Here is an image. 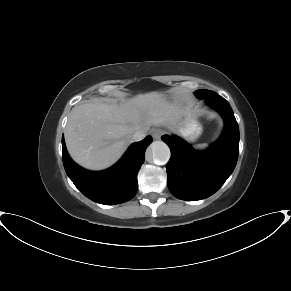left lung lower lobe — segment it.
I'll list each match as a JSON object with an SVG mask.
<instances>
[{
    "mask_svg": "<svg viewBox=\"0 0 291 291\" xmlns=\"http://www.w3.org/2000/svg\"><path fill=\"white\" fill-rule=\"evenodd\" d=\"M203 98L225 120L224 131L216 143L199 152L177 136H162L171 150L166 165L168 188L181 200L195 201L214 194L232 174L238 159L239 127L231 106L213 91Z\"/></svg>",
    "mask_w": 291,
    "mask_h": 291,
    "instance_id": "left-lung-lower-lobe-1",
    "label": "left lung lower lobe"
}]
</instances>
